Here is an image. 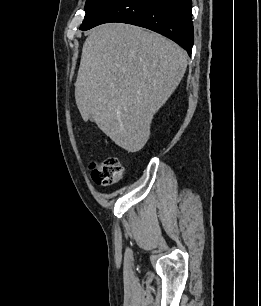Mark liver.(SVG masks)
Listing matches in <instances>:
<instances>
[{
	"mask_svg": "<svg viewBox=\"0 0 261 306\" xmlns=\"http://www.w3.org/2000/svg\"><path fill=\"white\" fill-rule=\"evenodd\" d=\"M186 68L187 55L173 41L129 24H103L83 45L75 84L78 110L116 145L137 152Z\"/></svg>",
	"mask_w": 261,
	"mask_h": 306,
	"instance_id": "6515ba94",
	"label": "liver"
}]
</instances>
